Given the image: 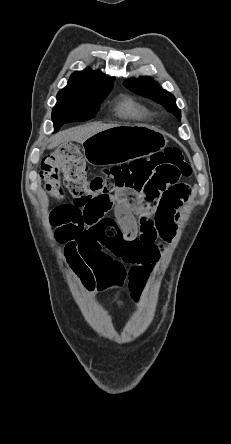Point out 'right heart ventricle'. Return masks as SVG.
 Masks as SVG:
<instances>
[{
    "label": "right heart ventricle",
    "mask_w": 231,
    "mask_h": 444,
    "mask_svg": "<svg viewBox=\"0 0 231 444\" xmlns=\"http://www.w3.org/2000/svg\"><path fill=\"white\" fill-rule=\"evenodd\" d=\"M119 116L131 119H146L150 117V110L131 97H125L117 106Z\"/></svg>",
    "instance_id": "right-heart-ventricle-1"
}]
</instances>
